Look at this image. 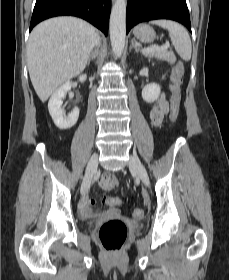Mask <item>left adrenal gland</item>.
I'll return each mask as SVG.
<instances>
[{
    "instance_id": "1",
    "label": "left adrenal gland",
    "mask_w": 229,
    "mask_h": 280,
    "mask_svg": "<svg viewBox=\"0 0 229 280\" xmlns=\"http://www.w3.org/2000/svg\"><path fill=\"white\" fill-rule=\"evenodd\" d=\"M133 48L135 49L136 52L139 51L138 47H137L136 44H135V40H134V39L131 41L130 51H131Z\"/></svg>"
}]
</instances>
